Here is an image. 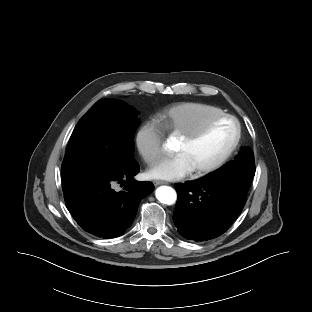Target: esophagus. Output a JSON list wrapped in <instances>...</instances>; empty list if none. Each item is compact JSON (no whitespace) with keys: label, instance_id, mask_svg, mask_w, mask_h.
<instances>
[{"label":"esophagus","instance_id":"34e87169","mask_svg":"<svg viewBox=\"0 0 312 312\" xmlns=\"http://www.w3.org/2000/svg\"><path fill=\"white\" fill-rule=\"evenodd\" d=\"M153 183H154L155 186L167 184V182H165V181H159V180L154 181Z\"/></svg>","mask_w":312,"mask_h":312}]
</instances>
